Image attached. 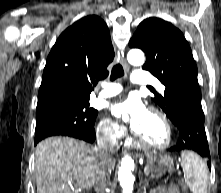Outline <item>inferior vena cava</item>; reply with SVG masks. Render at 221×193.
Returning a JSON list of instances; mask_svg holds the SVG:
<instances>
[{
	"mask_svg": "<svg viewBox=\"0 0 221 193\" xmlns=\"http://www.w3.org/2000/svg\"><path fill=\"white\" fill-rule=\"evenodd\" d=\"M97 143H98L97 148L100 152V160L96 174L95 191L97 193H104L106 188L107 178L109 177L110 174L109 170L110 154L115 146L112 131L100 134L97 138Z\"/></svg>",
	"mask_w": 221,
	"mask_h": 193,
	"instance_id": "602c4592",
	"label": "inferior vena cava"
}]
</instances>
